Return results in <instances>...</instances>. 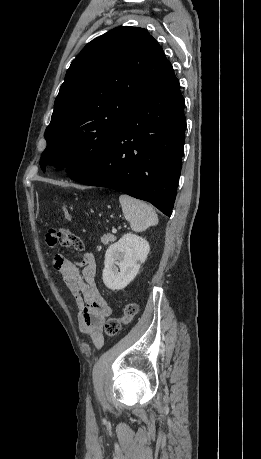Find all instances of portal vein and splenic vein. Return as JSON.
Here are the masks:
<instances>
[{
    "label": "portal vein and splenic vein",
    "instance_id": "obj_1",
    "mask_svg": "<svg viewBox=\"0 0 261 459\" xmlns=\"http://www.w3.org/2000/svg\"><path fill=\"white\" fill-rule=\"evenodd\" d=\"M117 232V229L116 228H113L112 229V233H116Z\"/></svg>",
    "mask_w": 261,
    "mask_h": 459
}]
</instances>
